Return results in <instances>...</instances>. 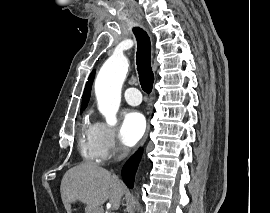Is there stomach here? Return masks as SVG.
<instances>
[{"mask_svg": "<svg viewBox=\"0 0 270 213\" xmlns=\"http://www.w3.org/2000/svg\"><path fill=\"white\" fill-rule=\"evenodd\" d=\"M69 200L71 203H75L77 201L72 195H69ZM85 213H103V210L101 208H91L86 206Z\"/></svg>", "mask_w": 270, "mask_h": 213, "instance_id": "1", "label": "stomach"}]
</instances>
